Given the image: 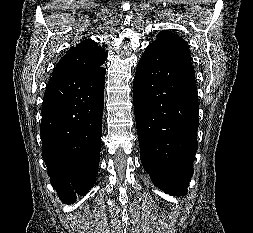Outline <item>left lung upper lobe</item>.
Masks as SVG:
<instances>
[{
  "instance_id": "left-lung-upper-lobe-1",
  "label": "left lung upper lobe",
  "mask_w": 253,
  "mask_h": 233,
  "mask_svg": "<svg viewBox=\"0 0 253 233\" xmlns=\"http://www.w3.org/2000/svg\"><path fill=\"white\" fill-rule=\"evenodd\" d=\"M151 45L191 58L187 42L180 36L169 31L160 32L157 35L156 41Z\"/></svg>"
}]
</instances>
